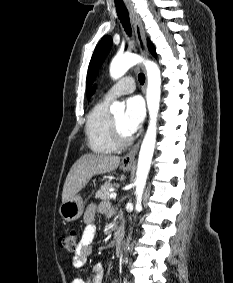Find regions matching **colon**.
<instances>
[{"mask_svg": "<svg viewBox=\"0 0 233 283\" xmlns=\"http://www.w3.org/2000/svg\"><path fill=\"white\" fill-rule=\"evenodd\" d=\"M77 240L78 232L76 230H70L60 236L59 245L64 249L72 251L76 248Z\"/></svg>", "mask_w": 233, "mask_h": 283, "instance_id": "obj_1", "label": "colon"}]
</instances>
